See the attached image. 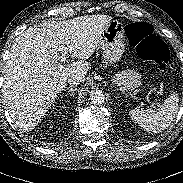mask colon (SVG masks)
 Returning a JSON list of instances; mask_svg holds the SVG:
<instances>
[{
  "label": "colon",
  "mask_w": 183,
  "mask_h": 183,
  "mask_svg": "<svg viewBox=\"0 0 183 183\" xmlns=\"http://www.w3.org/2000/svg\"><path fill=\"white\" fill-rule=\"evenodd\" d=\"M126 37L129 43L136 48L138 55L161 68L165 67L170 59L167 45L155 36L149 24L133 22L126 26Z\"/></svg>",
  "instance_id": "obj_1"
}]
</instances>
